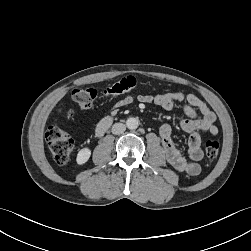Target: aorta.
<instances>
[{
  "instance_id": "1",
  "label": "aorta",
  "mask_w": 251,
  "mask_h": 251,
  "mask_svg": "<svg viewBox=\"0 0 251 251\" xmlns=\"http://www.w3.org/2000/svg\"><path fill=\"white\" fill-rule=\"evenodd\" d=\"M126 126L128 129L131 130L137 129L139 126V121L137 118L130 117L126 120Z\"/></svg>"
}]
</instances>
